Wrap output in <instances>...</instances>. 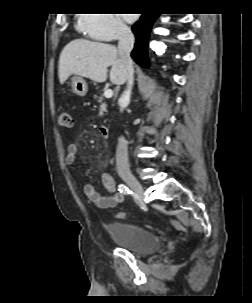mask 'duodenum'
I'll return each mask as SVG.
<instances>
[{
  "instance_id": "410a0bca",
  "label": "duodenum",
  "mask_w": 252,
  "mask_h": 303,
  "mask_svg": "<svg viewBox=\"0 0 252 303\" xmlns=\"http://www.w3.org/2000/svg\"><path fill=\"white\" fill-rule=\"evenodd\" d=\"M100 136L106 138L109 136V127L107 125H101L99 127Z\"/></svg>"
}]
</instances>
